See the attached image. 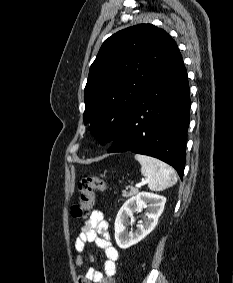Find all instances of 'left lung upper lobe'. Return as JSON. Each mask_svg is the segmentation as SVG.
<instances>
[{"label": "left lung upper lobe", "mask_w": 233, "mask_h": 283, "mask_svg": "<svg viewBox=\"0 0 233 283\" xmlns=\"http://www.w3.org/2000/svg\"><path fill=\"white\" fill-rule=\"evenodd\" d=\"M176 45L163 29L139 24L101 46L84 90V124L101 142L116 139L141 97L147 80Z\"/></svg>", "instance_id": "obj_1"}]
</instances>
